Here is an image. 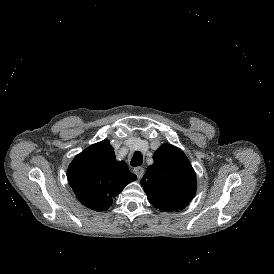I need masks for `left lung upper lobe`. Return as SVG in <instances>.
<instances>
[{"instance_id":"obj_1","label":"left lung upper lobe","mask_w":274,"mask_h":274,"mask_svg":"<svg viewBox=\"0 0 274 274\" xmlns=\"http://www.w3.org/2000/svg\"><path fill=\"white\" fill-rule=\"evenodd\" d=\"M153 160L141 180L149 202L161 211L184 209L196 192V174L190 161L170 144L158 148Z\"/></svg>"}]
</instances>
